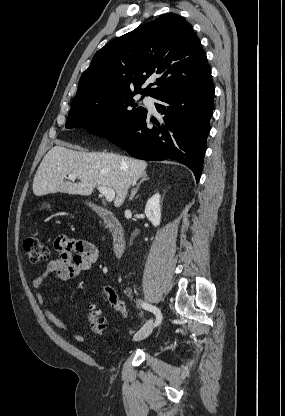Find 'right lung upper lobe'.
I'll list each match as a JSON object with an SVG mask.
<instances>
[{
	"label": "right lung upper lobe",
	"mask_w": 285,
	"mask_h": 416,
	"mask_svg": "<svg viewBox=\"0 0 285 416\" xmlns=\"http://www.w3.org/2000/svg\"><path fill=\"white\" fill-rule=\"evenodd\" d=\"M160 78L141 89L148 78ZM211 76L206 54L192 26L168 13L107 43L82 74L70 111L94 103L148 95L156 99Z\"/></svg>",
	"instance_id": "right-lung-upper-lobe-1"
}]
</instances>
